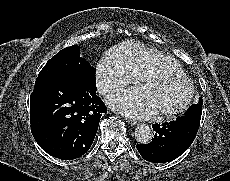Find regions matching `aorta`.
<instances>
[{
	"instance_id": "1",
	"label": "aorta",
	"mask_w": 230,
	"mask_h": 181,
	"mask_svg": "<svg viewBox=\"0 0 230 181\" xmlns=\"http://www.w3.org/2000/svg\"><path fill=\"white\" fill-rule=\"evenodd\" d=\"M134 136L138 143L149 144L153 138V130L147 124H138Z\"/></svg>"
}]
</instances>
